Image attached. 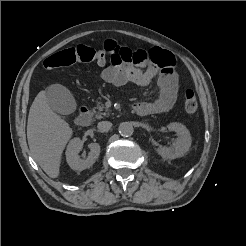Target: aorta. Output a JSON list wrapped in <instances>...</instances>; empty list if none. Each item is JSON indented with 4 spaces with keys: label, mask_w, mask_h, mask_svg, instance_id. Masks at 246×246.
I'll list each match as a JSON object with an SVG mask.
<instances>
[{
    "label": "aorta",
    "mask_w": 246,
    "mask_h": 246,
    "mask_svg": "<svg viewBox=\"0 0 246 246\" xmlns=\"http://www.w3.org/2000/svg\"><path fill=\"white\" fill-rule=\"evenodd\" d=\"M118 130L120 135L125 137L131 136L134 132L133 126L130 122H122L119 125Z\"/></svg>",
    "instance_id": "762f6f07"
}]
</instances>
